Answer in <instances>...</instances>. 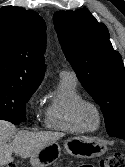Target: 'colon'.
<instances>
[{
	"mask_svg": "<svg viewBox=\"0 0 125 167\" xmlns=\"http://www.w3.org/2000/svg\"><path fill=\"white\" fill-rule=\"evenodd\" d=\"M8 167H19L18 163H11ZM81 167H94L91 165H83ZM102 167H125V155L115 153L108 156L104 161Z\"/></svg>",
	"mask_w": 125,
	"mask_h": 167,
	"instance_id": "colon-1",
	"label": "colon"
}]
</instances>
